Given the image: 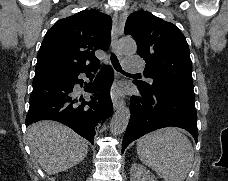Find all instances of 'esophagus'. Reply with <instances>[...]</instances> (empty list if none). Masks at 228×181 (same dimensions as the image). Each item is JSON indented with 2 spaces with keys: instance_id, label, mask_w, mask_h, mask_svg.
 I'll list each match as a JSON object with an SVG mask.
<instances>
[{
  "instance_id": "esophagus-1",
  "label": "esophagus",
  "mask_w": 228,
  "mask_h": 181,
  "mask_svg": "<svg viewBox=\"0 0 228 181\" xmlns=\"http://www.w3.org/2000/svg\"><path fill=\"white\" fill-rule=\"evenodd\" d=\"M123 30V27L120 25L119 20H118V13L115 12L114 16H113V36H112V40H113V49L117 55L118 58H122V53L118 50V46H117V42H118V35L119 33ZM124 106V99L123 98H119L116 99L113 102V107L115 110H118L119 108Z\"/></svg>"
}]
</instances>
